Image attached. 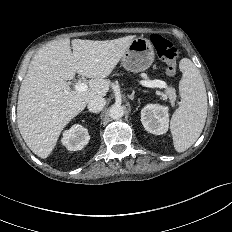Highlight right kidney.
Returning a JSON list of instances; mask_svg holds the SVG:
<instances>
[{"label":"right kidney","mask_w":232,"mask_h":232,"mask_svg":"<svg viewBox=\"0 0 232 232\" xmlns=\"http://www.w3.org/2000/svg\"><path fill=\"white\" fill-rule=\"evenodd\" d=\"M89 140L88 130L76 124L64 131L61 142L69 151H78L87 145Z\"/></svg>","instance_id":"right-kidney-1"}]
</instances>
